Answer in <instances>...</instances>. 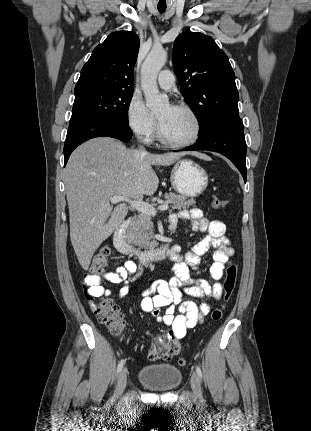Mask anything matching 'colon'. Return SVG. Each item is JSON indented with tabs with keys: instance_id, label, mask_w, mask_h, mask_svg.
<instances>
[{
	"instance_id": "5ec220e1",
	"label": "colon",
	"mask_w": 311,
	"mask_h": 431,
	"mask_svg": "<svg viewBox=\"0 0 311 431\" xmlns=\"http://www.w3.org/2000/svg\"><path fill=\"white\" fill-rule=\"evenodd\" d=\"M212 203L218 208H224L227 205V201L225 199L218 197H215ZM110 253L111 251L109 247H103L100 249V251L94 256L88 272L84 275L83 283L88 298L94 302V313L97 315L99 321L106 324L112 334L116 336H123L126 333L127 326L118 307L107 298H101L94 301V299L97 297L89 293V289L93 286L92 279L98 278L105 271L108 265ZM237 272L238 267L235 264L230 265L226 270V276L223 282L224 302L229 300L235 289ZM223 308L224 305H221L212 311L211 318L213 321H218L221 319L223 315ZM179 351L180 344L177 341L168 338H160L151 345L148 352V358L150 360H168L178 354ZM178 364L180 366H185L187 364V360L185 358H180L178 360Z\"/></svg>"
}]
</instances>
